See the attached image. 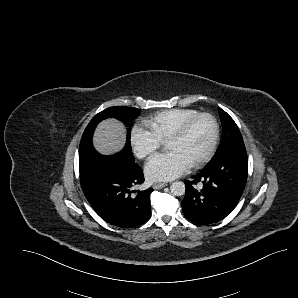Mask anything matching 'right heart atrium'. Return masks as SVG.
I'll use <instances>...</instances> for the list:
<instances>
[{
  "instance_id": "obj_1",
  "label": "right heart atrium",
  "mask_w": 298,
  "mask_h": 298,
  "mask_svg": "<svg viewBox=\"0 0 298 298\" xmlns=\"http://www.w3.org/2000/svg\"><path fill=\"white\" fill-rule=\"evenodd\" d=\"M130 140L134 153L139 158L148 157L162 145V140H160L151 130L140 125H134L131 128Z\"/></svg>"
}]
</instances>
